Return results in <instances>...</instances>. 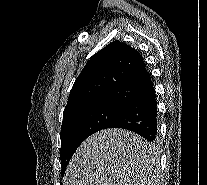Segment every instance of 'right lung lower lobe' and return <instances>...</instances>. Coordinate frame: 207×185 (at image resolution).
I'll return each instance as SVG.
<instances>
[{
  "label": "right lung lower lobe",
  "instance_id": "1",
  "mask_svg": "<svg viewBox=\"0 0 207 185\" xmlns=\"http://www.w3.org/2000/svg\"><path fill=\"white\" fill-rule=\"evenodd\" d=\"M157 127V101L152 84L123 107L106 128L127 129L156 144Z\"/></svg>",
  "mask_w": 207,
  "mask_h": 185
}]
</instances>
